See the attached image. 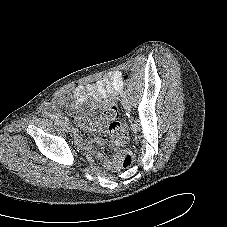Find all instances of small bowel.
Returning a JSON list of instances; mask_svg holds the SVG:
<instances>
[{"instance_id":"small-bowel-1","label":"small bowel","mask_w":227,"mask_h":227,"mask_svg":"<svg viewBox=\"0 0 227 227\" xmlns=\"http://www.w3.org/2000/svg\"><path fill=\"white\" fill-rule=\"evenodd\" d=\"M123 87V75L119 71H112L108 73L105 77L96 82L78 85L73 91V101L75 104H80L86 100V98H92L97 101L100 106L103 100L110 96H115ZM65 101L64 97L55 98L45 109L46 113H56L58 112L59 106H61ZM102 108V107H101ZM72 134L76 140H80V135L78 131L74 128ZM94 142L100 146H104V141L102 139H95ZM104 164L113 170L118 169V165L114 161L105 160Z\"/></svg>"}]
</instances>
